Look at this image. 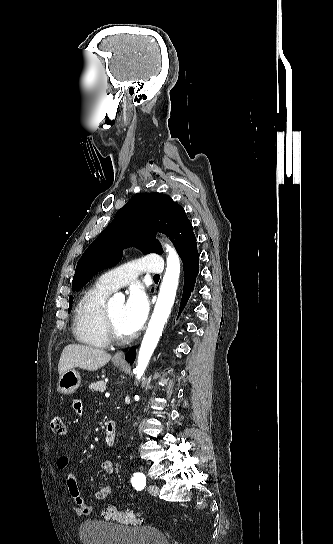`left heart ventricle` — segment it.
<instances>
[{
	"instance_id": "obj_1",
	"label": "left heart ventricle",
	"mask_w": 333,
	"mask_h": 544,
	"mask_svg": "<svg viewBox=\"0 0 333 544\" xmlns=\"http://www.w3.org/2000/svg\"><path fill=\"white\" fill-rule=\"evenodd\" d=\"M123 308V303H117L109 307V312L118 331L123 335H129L128 331L124 328L122 324Z\"/></svg>"
}]
</instances>
